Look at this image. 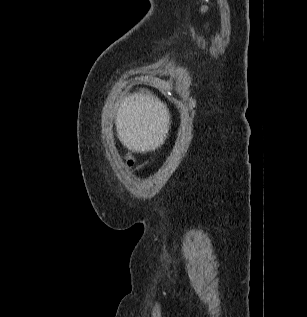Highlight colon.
I'll return each mask as SVG.
<instances>
[{
  "label": "colon",
  "mask_w": 307,
  "mask_h": 317,
  "mask_svg": "<svg viewBox=\"0 0 307 317\" xmlns=\"http://www.w3.org/2000/svg\"><path fill=\"white\" fill-rule=\"evenodd\" d=\"M126 163L128 167H133L135 165V159L132 156L126 157Z\"/></svg>",
  "instance_id": "obj_1"
}]
</instances>
